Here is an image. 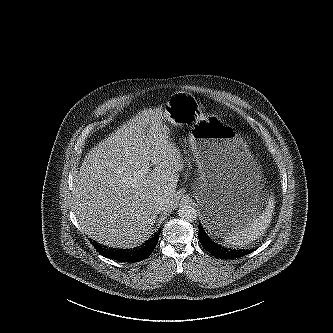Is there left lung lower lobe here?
I'll use <instances>...</instances> for the list:
<instances>
[{"mask_svg":"<svg viewBox=\"0 0 333 333\" xmlns=\"http://www.w3.org/2000/svg\"><path fill=\"white\" fill-rule=\"evenodd\" d=\"M199 229V241L202 246L213 256L221 259H236L243 257L250 253V251H239L225 248L216 242H214L206 233L201 224L198 225Z\"/></svg>","mask_w":333,"mask_h":333,"instance_id":"obj_1","label":"left lung lower lobe"}]
</instances>
